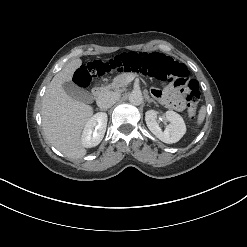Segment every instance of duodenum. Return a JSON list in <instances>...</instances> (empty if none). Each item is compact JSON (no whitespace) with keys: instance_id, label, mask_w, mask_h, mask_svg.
Returning a JSON list of instances; mask_svg holds the SVG:
<instances>
[{"instance_id":"duodenum-1","label":"duodenum","mask_w":247,"mask_h":247,"mask_svg":"<svg viewBox=\"0 0 247 247\" xmlns=\"http://www.w3.org/2000/svg\"><path fill=\"white\" fill-rule=\"evenodd\" d=\"M104 91H105L104 85H101V84L96 85V86L93 88V90H92L94 98L97 99V98H99L100 96H102V94L104 93Z\"/></svg>"}]
</instances>
